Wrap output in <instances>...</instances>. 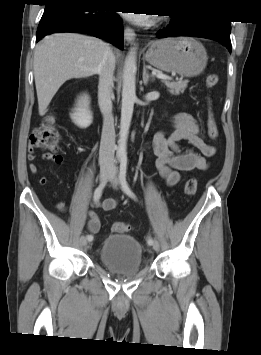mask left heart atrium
Masks as SVG:
<instances>
[{"instance_id": "left-heart-atrium-1", "label": "left heart atrium", "mask_w": 261, "mask_h": 355, "mask_svg": "<svg viewBox=\"0 0 261 355\" xmlns=\"http://www.w3.org/2000/svg\"><path fill=\"white\" fill-rule=\"evenodd\" d=\"M124 16L134 23L146 24L151 20L153 15L150 13H125Z\"/></svg>"}]
</instances>
